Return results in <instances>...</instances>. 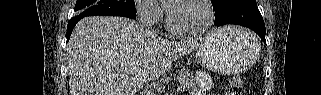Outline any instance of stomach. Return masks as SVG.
Here are the masks:
<instances>
[{"label":"stomach","mask_w":321,"mask_h":95,"mask_svg":"<svg viewBox=\"0 0 321 95\" xmlns=\"http://www.w3.org/2000/svg\"><path fill=\"white\" fill-rule=\"evenodd\" d=\"M256 36L242 28L224 27L206 37L196 47V58L207 69L236 74L250 67L259 56Z\"/></svg>","instance_id":"0dacf381"}]
</instances>
